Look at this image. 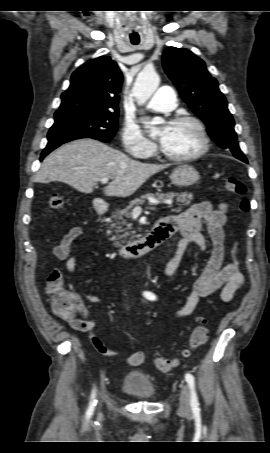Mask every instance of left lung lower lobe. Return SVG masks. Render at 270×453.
<instances>
[{
  "mask_svg": "<svg viewBox=\"0 0 270 453\" xmlns=\"http://www.w3.org/2000/svg\"><path fill=\"white\" fill-rule=\"evenodd\" d=\"M238 159H240V160H242V161H244V162H246V163H247V159H246L245 157H242V158H238Z\"/></svg>",
  "mask_w": 270,
  "mask_h": 453,
  "instance_id": "obj_1",
  "label": "left lung lower lobe"
}]
</instances>
